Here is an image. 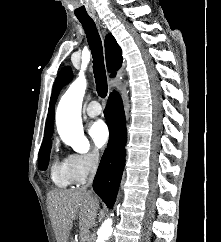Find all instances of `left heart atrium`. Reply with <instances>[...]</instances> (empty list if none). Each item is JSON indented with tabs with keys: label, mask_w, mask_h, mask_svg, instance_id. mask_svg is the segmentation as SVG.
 <instances>
[{
	"label": "left heart atrium",
	"mask_w": 221,
	"mask_h": 242,
	"mask_svg": "<svg viewBox=\"0 0 221 242\" xmlns=\"http://www.w3.org/2000/svg\"><path fill=\"white\" fill-rule=\"evenodd\" d=\"M89 134L96 146L103 147L109 139V128L104 121L98 120L91 125Z\"/></svg>",
	"instance_id": "39dd6f15"
}]
</instances>
